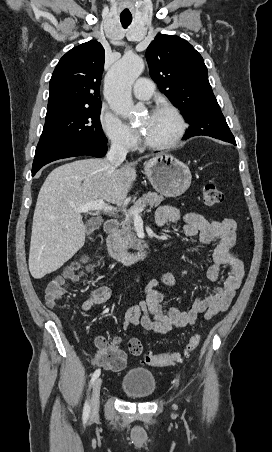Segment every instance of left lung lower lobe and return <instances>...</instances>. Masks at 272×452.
Returning a JSON list of instances; mask_svg holds the SVG:
<instances>
[{"label": "left lung lower lobe", "mask_w": 272, "mask_h": 452, "mask_svg": "<svg viewBox=\"0 0 272 452\" xmlns=\"http://www.w3.org/2000/svg\"><path fill=\"white\" fill-rule=\"evenodd\" d=\"M198 135H202V134H200L198 132H187V134L184 136V138L188 139L192 136H198ZM217 139H221L223 141H227V142H230V143H233L234 145H236L234 136L233 137H231V136L230 137H218Z\"/></svg>", "instance_id": "left-lung-lower-lobe-1"}]
</instances>
